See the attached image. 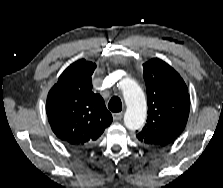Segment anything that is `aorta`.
Returning <instances> with one entry per match:
<instances>
[{
    "label": "aorta",
    "instance_id": "1",
    "mask_svg": "<svg viewBox=\"0 0 223 188\" xmlns=\"http://www.w3.org/2000/svg\"><path fill=\"white\" fill-rule=\"evenodd\" d=\"M121 88L127 106L124 124L130 130L140 129L143 127L147 116L144 93L139 85L131 79H124L121 82Z\"/></svg>",
    "mask_w": 223,
    "mask_h": 188
}]
</instances>
